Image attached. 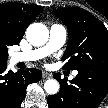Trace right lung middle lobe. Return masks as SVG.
Instances as JSON below:
<instances>
[{
  "mask_svg": "<svg viewBox=\"0 0 108 108\" xmlns=\"http://www.w3.org/2000/svg\"><path fill=\"white\" fill-rule=\"evenodd\" d=\"M8 45L0 42V64H6L8 53H7Z\"/></svg>",
  "mask_w": 108,
  "mask_h": 108,
  "instance_id": "dd1d6c3e",
  "label": "right lung middle lobe"
}]
</instances>
